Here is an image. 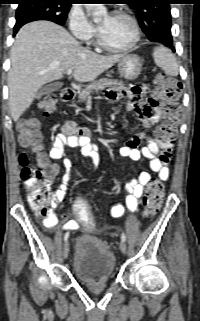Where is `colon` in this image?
I'll return each mask as SVG.
<instances>
[{
  "label": "colon",
  "mask_w": 200,
  "mask_h": 321,
  "mask_svg": "<svg viewBox=\"0 0 200 321\" xmlns=\"http://www.w3.org/2000/svg\"><path fill=\"white\" fill-rule=\"evenodd\" d=\"M181 93L179 83L170 76L159 73L154 79L153 99L161 101L164 106L165 119L157 127V139L164 146V157H171V148L176 138L179 124V106L176 100ZM44 115H51L56 107V98L52 95L45 97L39 104ZM21 144L30 147L37 154L31 160L25 152L19 155L18 161L21 167V178L24 189L27 192L31 209L39 216L46 217L50 214L47 206L50 189L48 177L53 170L47 159L40 153L39 146L41 136L39 133V122L37 119H25L20 123ZM164 188L158 180H152L147 187L143 198V215L147 218L154 216L162 204ZM87 197L76 193L75 201L70 206V211L74 212L76 222H81L87 230L95 227L94 219L86 205Z\"/></svg>",
  "instance_id": "1"
}]
</instances>
